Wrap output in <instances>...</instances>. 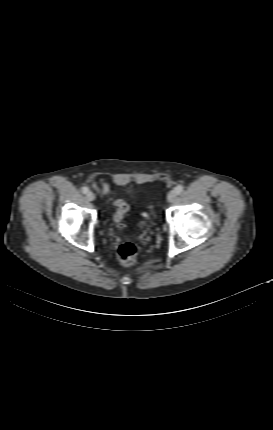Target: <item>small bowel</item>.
I'll list each match as a JSON object with an SVG mask.
<instances>
[{"mask_svg":"<svg viewBox=\"0 0 273 430\" xmlns=\"http://www.w3.org/2000/svg\"><path fill=\"white\" fill-rule=\"evenodd\" d=\"M102 193H103L104 195H107V194H109V193H110V188H109V185H108L107 183H104V184H103V186H102Z\"/></svg>","mask_w":273,"mask_h":430,"instance_id":"c3829d8e","label":"small bowel"}]
</instances>
